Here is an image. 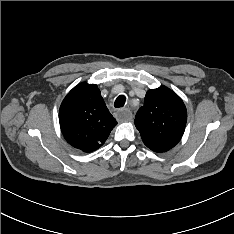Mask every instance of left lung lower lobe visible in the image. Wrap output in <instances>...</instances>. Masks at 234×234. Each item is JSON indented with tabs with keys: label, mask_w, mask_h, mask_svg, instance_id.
<instances>
[{
	"label": "left lung lower lobe",
	"mask_w": 234,
	"mask_h": 234,
	"mask_svg": "<svg viewBox=\"0 0 234 234\" xmlns=\"http://www.w3.org/2000/svg\"><path fill=\"white\" fill-rule=\"evenodd\" d=\"M176 144L171 142V141H167V140H159L154 144H147L146 146L148 148H150L152 151L155 152H166L168 150H170L171 148H173Z\"/></svg>",
	"instance_id": "0a47b994"
}]
</instances>
